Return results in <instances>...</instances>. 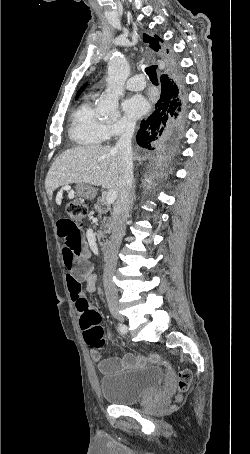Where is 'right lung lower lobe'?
Instances as JSON below:
<instances>
[{"label": "right lung lower lobe", "mask_w": 250, "mask_h": 454, "mask_svg": "<svg viewBox=\"0 0 250 454\" xmlns=\"http://www.w3.org/2000/svg\"><path fill=\"white\" fill-rule=\"evenodd\" d=\"M172 67L161 75V95L155 111L141 122L136 140L141 147L153 142H175L178 140L185 120V98L183 81L176 58L167 49Z\"/></svg>", "instance_id": "right-lung-lower-lobe-1"}]
</instances>
